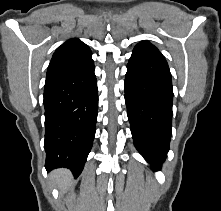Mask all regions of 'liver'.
Instances as JSON below:
<instances>
[{
    "label": "liver",
    "instance_id": "6515ba94",
    "mask_svg": "<svg viewBox=\"0 0 221 211\" xmlns=\"http://www.w3.org/2000/svg\"><path fill=\"white\" fill-rule=\"evenodd\" d=\"M50 177L63 192H66L72 186V175L67 169L54 170Z\"/></svg>",
    "mask_w": 221,
    "mask_h": 211
}]
</instances>
